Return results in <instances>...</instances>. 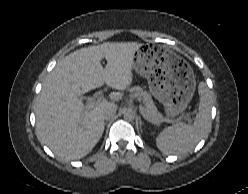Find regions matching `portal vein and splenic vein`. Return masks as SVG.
Returning a JSON list of instances; mask_svg holds the SVG:
<instances>
[{"label": "portal vein and splenic vein", "instance_id": "obj_1", "mask_svg": "<svg viewBox=\"0 0 248 194\" xmlns=\"http://www.w3.org/2000/svg\"><path fill=\"white\" fill-rule=\"evenodd\" d=\"M106 101L104 97H100L97 101L93 100L92 98L88 99L87 101V108H93L94 106H96L97 104H100L102 102ZM140 113L142 114V116L149 120L150 122L154 123V124H158V122H156L154 119L150 118L144 111L143 107L140 106L139 107Z\"/></svg>", "mask_w": 248, "mask_h": 194}]
</instances>
